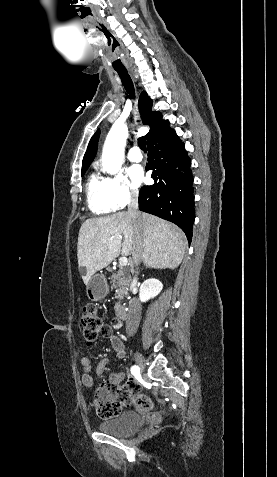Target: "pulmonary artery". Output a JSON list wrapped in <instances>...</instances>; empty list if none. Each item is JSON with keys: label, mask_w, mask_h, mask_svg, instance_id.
<instances>
[{"label": "pulmonary artery", "mask_w": 277, "mask_h": 477, "mask_svg": "<svg viewBox=\"0 0 277 477\" xmlns=\"http://www.w3.org/2000/svg\"><path fill=\"white\" fill-rule=\"evenodd\" d=\"M128 158L134 162H140L143 158L142 153L138 147H133L128 152Z\"/></svg>", "instance_id": "obj_1"}]
</instances>
